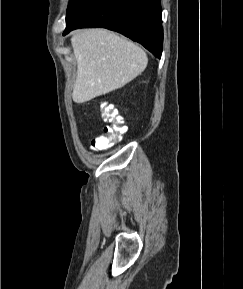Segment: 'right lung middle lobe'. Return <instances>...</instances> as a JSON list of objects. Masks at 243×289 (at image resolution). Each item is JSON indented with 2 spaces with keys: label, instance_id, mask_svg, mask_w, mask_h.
Returning a JSON list of instances; mask_svg holds the SVG:
<instances>
[{
  "label": "right lung middle lobe",
  "instance_id": "obj_1",
  "mask_svg": "<svg viewBox=\"0 0 243 289\" xmlns=\"http://www.w3.org/2000/svg\"><path fill=\"white\" fill-rule=\"evenodd\" d=\"M81 0H70L68 9H67V17H69L77 8Z\"/></svg>",
  "mask_w": 243,
  "mask_h": 289
}]
</instances>
